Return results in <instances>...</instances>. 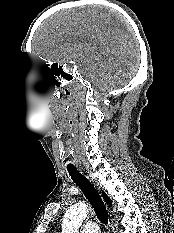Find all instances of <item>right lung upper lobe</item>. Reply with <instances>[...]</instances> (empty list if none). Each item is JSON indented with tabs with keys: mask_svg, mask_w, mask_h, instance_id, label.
<instances>
[{
	"mask_svg": "<svg viewBox=\"0 0 174 233\" xmlns=\"http://www.w3.org/2000/svg\"><path fill=\"white\" fill-rule=\"evenodd\" d=\"M102 196L108 205L112 204L111 199L104 192H102Z\"/></svg>",
	"mask_w": 174,
	"mask_h": 233,
	"instance_id": "1",
	"label": "right lung upper lobe"
}]
</instances>
